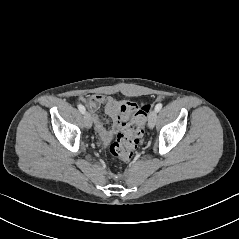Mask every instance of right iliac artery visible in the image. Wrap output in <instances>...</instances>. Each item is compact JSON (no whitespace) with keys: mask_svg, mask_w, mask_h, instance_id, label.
I'll use <instances>...</instances> for the list:
<instances>
[{"mask_svg":"<svg viewBox=\"0 0 239 239\" xmlns=\"http://www.w3.org/2000/svg\"><path fill=\"white\" fill-rule=\"evenodd\" d=\"M78 109L81 113H83V114L85 113V107L83 105L79 104Z\"/></svg>","mask_w":239,"mask_h":239,"instance_id":"1","label":"right iliac artery"}]
</instances>
